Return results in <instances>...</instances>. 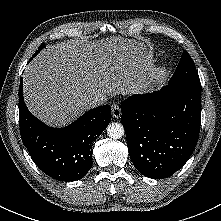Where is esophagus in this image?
Returning a JSON list of instances; mask_svg holds the SVG:
<instances>
[{
	"label": "esophagus",
	"instance_id": "esophagus-1",
	"mask_svg": "<svg viewBox=\"0 0 221 221\" xmlns=\"http://www.w3.org/2000/svg\"><path fill=\"white\" fill-rule=\"evenodd\" d=\"M111 114L114 118L118 119L121 116V109L117 103H113L111 106Z\"/></svg>",
	"mask_w": 221,
	"mask_h": 221
}]
</instances>
